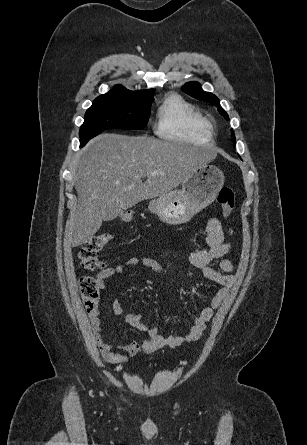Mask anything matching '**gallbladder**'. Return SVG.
Listing matches in <instances>:
<instances>
[{"label": "gallbladder", "instance_id": "gallbladder-1", "mask_svg": "<svg viewBox=\"0 0 307 445\" xmlns=\"http://www.w3.org/2000/svg\"><path fill=\"white\" fill-rule=\"evenodd\" d=\"M119 209V206L117 204L109 203L106 206V212L107 215H105L104 220L107 223L112 222L113 219L117 218L118 213L117 210Z\"/></svg>", "mask_w": 307, "mask_h": 445}]
</instances>
